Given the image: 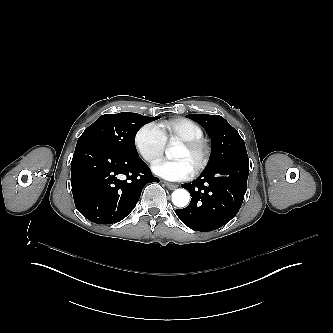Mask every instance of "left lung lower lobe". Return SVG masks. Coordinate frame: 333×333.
<instances>
[{
  "mask_svg": "<svg viewBox=\"0 0 333 333\" xmlns=\"http://www.w3.org/2000/svg\"><path fill=\"white\" fill-rule=\"evenodd\" d=\"M248 174V158H236L182 184L192 198L186 208L176 210L178 218L196 231H213L228 223L242 205Z\"/></svg>",
  "mask_w": 333,
  "mask_h": 333,
  "instance_id": "0a47b994",
  "label": "left lung lower lobe"
}]
</instances>
